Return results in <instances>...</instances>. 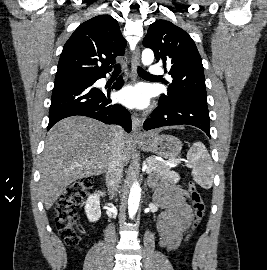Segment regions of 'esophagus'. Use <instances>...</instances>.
<instances>
[{
  "label": "esophagus",
  "mask_w": 267,
  "mask_h": 270,
  "mask_svg": "<svg viewBox=\"0 0 267 270\" xmlns=\"http://www.w3.org/2000/svg\"><path fill=\"white\" fill-rule=\"evenodd\" d=\"M140 65V50L137 47L132 55L131 59V77L132 80H136L137 67ZM132 134L134 137L139 138L142 136L141 133V120L137 114H132Z\"/></svg>",
  "instance_id": "34e87169"
}]
</instances>
